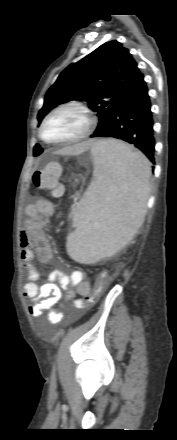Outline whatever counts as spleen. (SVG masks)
I'll use <instances>...</instances> for the list:
<instances>
[{
    "label": "spleen",
    "instance_id": "3e777b00",
    "mask_svg": "<svg viewBox=\"0 0 177 440\" xmlns=\"http://www.w3.org/2000/svg\"><path fill=\"white\" fill-rule=\"evenodd\" d=\"M95 180L72 214L76 229L67 237L69 256L94 263L122 249L144 222L151 174L148 159L115 140L92 149Z\"/></svg>",
    "mask_w": 177,
    "mask_h": 440
}]
</instances>
